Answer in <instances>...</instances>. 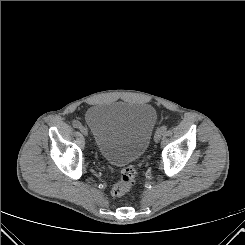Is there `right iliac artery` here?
I'll list each match as a JSON object with an SVG mask.
<instances>
[{
  "label": "right iliac artery",
  "mask_w": 245,
  "mask_h": 245,
  "mask_svg": "<svg viewBox=\"0 0 245 245\" xmlns=\"http://www.w3.org/2000/svg\"><path fill=\"white\" fill-rule=\"evenodd\" d=\"M73 126H74V128H80L82 126V124L79 121L74 120Z\"/></svg>",
  "instance_id": "1"
}]
</instances>
